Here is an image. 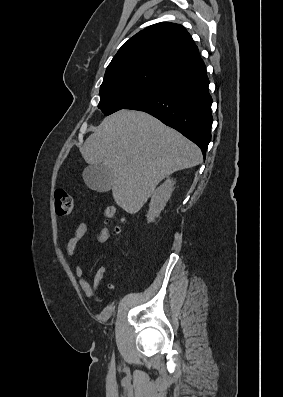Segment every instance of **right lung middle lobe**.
Returning <instances> with one entry per match:
<instances>
[{"label": "right lung middle lobe", "mask_w": 283, "mask_h": 397, "mask_svg": "<svg viewBox=\"0 0 283 397\" xmlns=\"http://www.w3.org/2000/svg\"><path fill=\"white\" fill-rule=\"evenodd\" d=\"M167 80L143 73L118 74L104 78L98 108L105 115L124 109L166 84Z\"/></svg>", "instance_id": "right-lung-middle-lobe-1"}]
</instances>
